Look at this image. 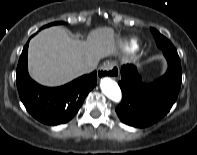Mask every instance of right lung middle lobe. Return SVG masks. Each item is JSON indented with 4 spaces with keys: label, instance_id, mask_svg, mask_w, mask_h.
<instances>
[{
    "label": "right lung middle lobe",
    "instance_id": "obj_1",
    "mask_svg": "<svg viewBox=\"0 0 197 155\" xmlns=\"http://www.w3.org/2000/svg\"><path fill=\"white\" fill-rule=\"evenodd\" d=\"M57 24H62V22H54V23L49 24L48 26L57 25Z\"/></svg>",
    "mask_w": 197,
    "mask_h": 155
}]
</instances>
